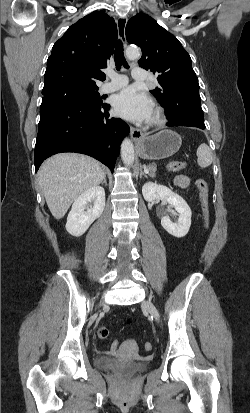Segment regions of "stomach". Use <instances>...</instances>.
I'll list each match as a JSON object with an SVG mask.
<instances>
[{"label":"stomach","mask_w":250,"mask_h":413,"mask_svg":"<svg viewBox=\"0 0 250 413\" xmlns=\"http://www.w3.org/2000/svg\"><path fill=\"white\" fill-rule=\"evenodd\" d=\"M182 139L172 130H163L152 136H144L137 143L141 158L160 160L174 155L181 147Z\"/></svg>","instance_id":"1"}]
</instances>
